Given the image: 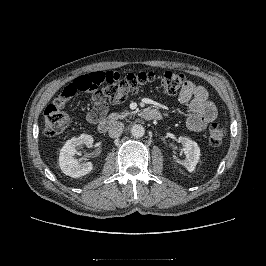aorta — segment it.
Masks as SVG:
<instances>
[{"instance_id":"1","label":"aorta","mask_w":266,"mask_h":266,"mask_svg":"<svg viewBox=\"0 0 266 266\" xmlns=\"http://www.w3.org/2000/svg\"><path fill=\"white\" fill-rule=\"evenodd\" d=\"M145 134V128L141 124H135L131 128V135L135 138H141Z\"/></svg>"}]
</instances>
